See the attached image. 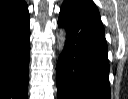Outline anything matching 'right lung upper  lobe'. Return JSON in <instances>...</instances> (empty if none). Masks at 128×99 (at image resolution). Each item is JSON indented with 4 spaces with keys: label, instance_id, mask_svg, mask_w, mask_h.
Instances as JSON below:
<instances>
[{
    "label": "right lung upper lobe",
    "instance_id": "cb5924a9",
    "mask_svg": "<svg viewBox=\"0 0 128 99\" xmlns=\"http://www.w3.org/2000/svg\"><path fill=\"white\" fill-rule=\"evenodd\" d=\"M26 5L24 0H0V22Z\"/></svg>",
    "mask_w": 128,
    "mask_h": 99
}]
</instances>
